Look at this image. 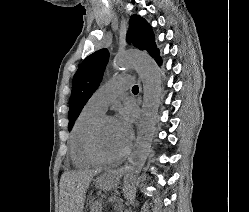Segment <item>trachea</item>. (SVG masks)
<instances>
[{
	"label": "trachea",
	"mask_w": 249,
	"mask_h": 212,
	"mask_svg": "<svg viewBox=\"0 0 249 212\" xmlns=\"http://www.w3.org/2000/svg\"><path fill=\"white\" fill-rule=\"evenodd\" d=\"M132 90H139L137 85H134V87L132 88Z\"/></svg>",
	"instance_id": "trachea-1"
}]
</instances>
